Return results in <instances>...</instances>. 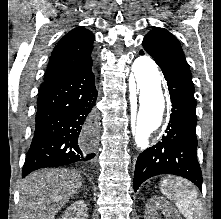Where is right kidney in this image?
Wrapping results in <instances>:
<instances>
[{
	"label": "right kidney",
	"mask_w": 221,
	"mask_h": 219,
	"mask_svg": "<svg viewBox=\"0 0 221 219\" xmlns=\"http://www.w3.org/2000/svg\"><path fill=\"white\" fill-rule=\"evenodd\" d=\"M88 208L83 200H77L65 210L59 219H87Z\"/></svg>",
	"instance_id": "obj_1"
}]
</instances>
